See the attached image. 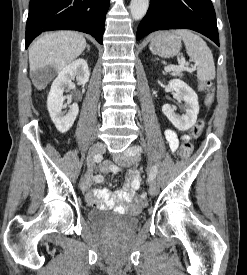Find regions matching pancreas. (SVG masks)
<instances>
[{"label": "pancreas", "mask_w": 247, "mask_h": 275, "mask_svg": "<svg viewBox=\"0 0 247 275\" xmlns=\"http://www.w3.org/2000/svg\"><path fill=\"white\" fill-rule=\"evenodd\" d=\"M172 75L182 77L183 74L181 73V71H174Z\"/></svg>", "instance_id": "pancreas-1"}]
</instances>
